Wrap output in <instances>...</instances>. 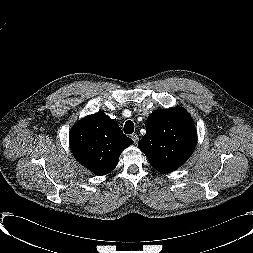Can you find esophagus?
Returning <instances> with one entry per match:
<instances>
[{
  "instance_id": "34e87169",
  "label": "esophagus",
  "mask_w": 253,
  "mask_h": 253,
  "mask_svg": "<svg viewBox=\"0 0 253 253\" xmlns=\"http://www.w3.org/2000/svg\"><path fill=\"white\" fill-rule=\"evenodd\" d=\"M131 138H132V140L134 141V144H137V143H138V141H139V136H138V134L133 133V134L131 135Z\"/></svg>"
}]
</instances>
